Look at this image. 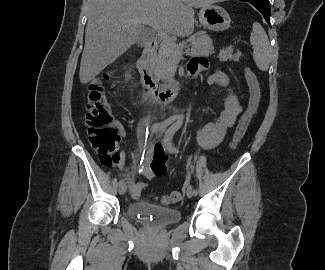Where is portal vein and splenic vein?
I'll list each match as a JSON object with an SVG mask.
<instances>
[{"label": "portal vein and splenic vein", "instance_id": "18ae733b", "mask_svg": "<svg viewBox=\"0 0 325 270\" xmlns=\"http://www.w3.org/2000/svg\"><path fill=\"white\" fill-rule=\"evenodd\" d=\"M137 22L149 25L153 29H155L158 33L159 38L162 40L163 43H167V44L176 46L175 41L167 34L166 31L163 30V28L156 21L149 19V18H143V19L137 20Z\"/></svg>", "mask_w": 325, "mask_h": 270}]
</instances>
